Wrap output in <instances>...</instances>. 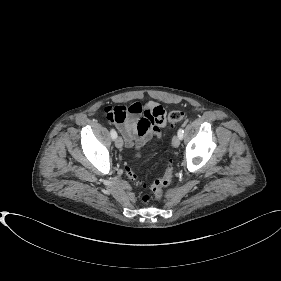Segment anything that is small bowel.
<instances>
[{
  "instance_id": "1",
  "label": "small bowel",
  "mask_w": 281,
  "mask_h": 281,
  "mask_svg": "<svg viewBox=\"0 0 281 281\" xmlns=\"http://www.w3.org/2000/svg\"><path fill=\"white\" fill-rule=\"evenodd\" d=\"M138 104V111L129 113L123 122H114L128 146L136 148L158 136L160 128L165 125L162 106L152 101L145 105Z\"/></svg>"
}]
</instances>
